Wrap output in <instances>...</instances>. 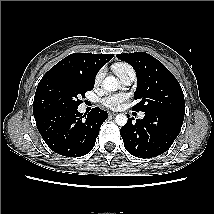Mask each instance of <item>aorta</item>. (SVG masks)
Segmentation results:
<instances>
[{
	"instance_id": "aorta-1",
	"label": "aorta",
	"mask_w": 214,
	"mask_h": 214,
	"mask_svg": "<svg viewBox=\"0 0 214 214\" xmlns=\"http://www.w3.org/2000/svg\"><path fill=\"white\" fill-rule=\"evenodd\" d=\"M102 87L107 91H115L118 87V81L114 76H108L103 80ZM127 120L128 118L125 114H118L115 117V122L119 126H124Z\"/></svg>"
}]
</instances>
